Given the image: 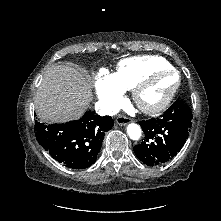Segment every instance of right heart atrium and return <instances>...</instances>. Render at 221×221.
<instances>
[{"mask_svg": "<svg viewBox=\"0 0 221 221\" xmlns=\"http://www.w3.org/2000/svg\"><path fill=\"white\" fill-rule=\"evenodd\" d=\"M95 90L101 105L109 112L115 111L123 102L124 89L113 74L99 72L95 78Z\"/></svg>", "mask_w": 221, "mask_h": 221, "instance_id": "obj_1", "label": "right heart atrium"}]
</instances>
